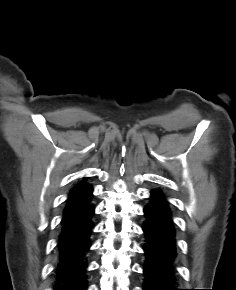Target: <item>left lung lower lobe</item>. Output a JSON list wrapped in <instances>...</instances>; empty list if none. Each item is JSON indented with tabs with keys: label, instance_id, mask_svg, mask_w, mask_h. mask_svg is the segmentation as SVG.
Listing matches in <instances>:
<instances>
[{
	"label": "left lung lower lobe",
	"instance_id": "0a47b994",
	"mask_svg": "<svg viewBox=\"0 0 236 290\" xmlns=\"http://www.w3.org/2000/svg\"><path fill=\"white\" fill-rule=\"evenodd\" d=\"M144 213V289L180 290L177 289L174 274L175 229L168 203L161 191H151L150 201L145 206Z\"/></svg>",
	"mask_w": 236,
	"mask_h": 290
}]
</instances>
